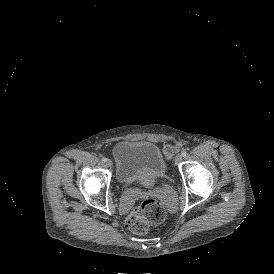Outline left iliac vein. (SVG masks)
<instances>
[{
	"instance_id": "1",
	"label": "left iliac vein",
	"mask_w": 274,
	"mask_h": 274,
	"mask_svg": "<svg viewBox=\"0 0 274 274\" xmlns=\"http://www.w3.org/2000/svg\"><path fill=\"white\" fill-rule=\"evenodd\" d=\"M182 154H177L176 156H175V163L176 164H179L181 161H182Z\"/></svg>"
}]
</instances>
